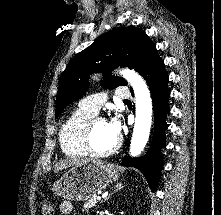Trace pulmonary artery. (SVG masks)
<instances>
[{
    "instance_id": "obj_1",
    "label": "pulmonary artery",
    "mask_w": 221,
    "mask_h": 215,
    "mask_svg": "<svg viewBox=\"0 0 221 215\" xmlns=\"http://www.w3.org/2000/svg\"><path fill=\"white\" fill-rule=\"evenodd\" d=\"M116 97L119 99H128L130 92L124 87H120L115 91ZM106 101L104 93L92 94L81 100L79 106L93 114H97Z\"/></svg>"
}]
</instances>
